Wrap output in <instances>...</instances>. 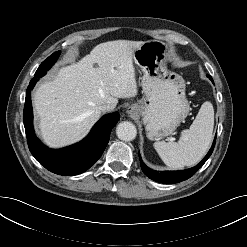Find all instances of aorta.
Instances as JSON below:
<instances>
[{
  "label": "aorta",
  "mask_w": 247,
  "mask_h": 247,
  "mask_svg": "<svg viewBox=\"0 0 247 247\" xmlns=\"http://www.w3.org/2000/svg\"><path fill=\"white\" fill-rule=\"evenodd\" d=\"M116 134L120 140L132 141L137 135V129L132 122L124 121L118 124Z\"/></svg>",
  "instance_id": "1"
}]
</instances>
